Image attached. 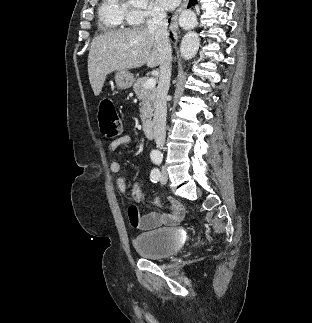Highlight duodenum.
<instances>
[{
  "label": "duodenum",
  "mask_w": 312,
  "mask_h": 323,
  "mask_svg": "<svg viewBox=\"0 0 312 323\" xmlns=\"http://www.w3.org/2000/svg\"><path fill=\"white\" fill-rule=\"evenodd\" d=\"M142 129L147 138L154 139L153 124L150 118H144L142 120Z\"/></svg>",
  "instance_id": "1"
}]
</instances>
